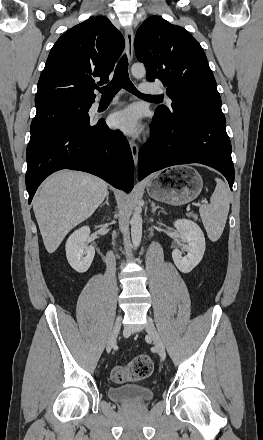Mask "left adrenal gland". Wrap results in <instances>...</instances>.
Listing matches in <instances>:
<instances>
[{
  "instance_id": "1",
  "label": "left adrenal gland",
  "mask_w": 263,
  "mask_h": 440,
  "mask_svg": "<svg viewBox=\"0 0 263 440\" xmlns=\"http://www.w3.org/2000/svg\"><path fill=\"white\" fill-rule=\"evenodd\" d=\"M157 209H161V211H164L163 207L156 206L155 203L152 201L151 202V211H152V213H155Z\"/></svg>"
}]
</instances>
